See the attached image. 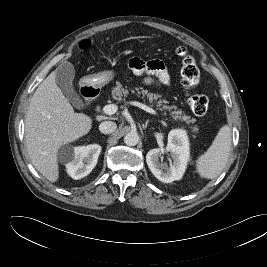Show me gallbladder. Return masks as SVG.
Returning a JSON list of instances; mask_svg holds the SVG:
<instances>
[{"label": "gallbladder", "mask_w": 267, "mask_h": 267, "mask_svg": "<svg viewBox=\"0 0 267 267\" xmlns=\"http://www.w3.org/2000/svg\"><path fill=\"white\" fill-rule=\"evenodd\" d=\"M56 83L67 100L78 110L85 107L83 99L77 93L73 85L75 77L74 66L68 62H61L55 69Z\"/></svg>", "instance_id": "1"}]
</instances>
